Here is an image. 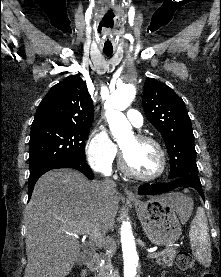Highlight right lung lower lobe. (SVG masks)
<instances>
[{"mask_svg": "<svg viewBox=\"0 0 221 277\" xmlns=\"http://www.w3.org/2000/svg\"><path fill=\"white\" fill-rule=\"evenodd\" d=\"M58 168H73V169H76V170L82 172L86 177H88L91 180L94 178L93 172L90 169V167L86 164V162L79 161V160L67 161V162L61 163L55 167L47 168V169L41 171L36 176L29 177V186H28L29 199L32 195L34 185H35L36 181L39 179V177L49 170L58 169Z\"/></svg>", "mask_w": 221, "mask_h": 277, "instance_id": "1", "label": "right lung lower lobe"}]
</instances>
